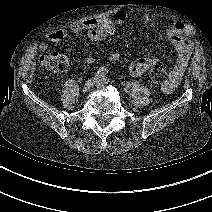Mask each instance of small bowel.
Returning <instances> with one entry per match:
<instances>
[{
  "label": "small bowel",
  "mask_w": 212,
  "mask_h": 212,
  "mask_svg": "<svg viewBox=\"0 0 212 212\" xmlns=\"http://www.w3.org/2000/svg\"><path fill=\"white\" fill-rule=\"evenodd\" d=\"M127 17L128 13L125 10H119L115 12L113 16L102 15L76 23L71 26L70 32L75 35H85L94 41H103L113 33L116 24L123 23ZM187 30V24L177 20L173 22L166 31L168 45L176 54L175 66L170 71L168 80L161 86L162 90L166 93L174 91L178 86L191 58L192 44L184 36ZM68 34L69 33L65 30H57L48 36V40L53 43L59 42L65 39ZM39 48L41 51H46L48 45L42 42ZM107 59L109 61H116L119 59V54L117 52L112 53ZM83 61L90 65L95 63L97 58L94 56H86ZM157 63L159 62L155 58H139L130 64L129 71L133 76H141Z\"/></svg>",
  "instance_id": "obj_1"
}]
</instances>
